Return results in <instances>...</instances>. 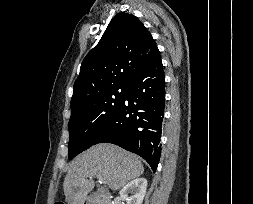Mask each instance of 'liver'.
Returning a JSON list of instances; mask_svg holds the SVG:
<instances>
[{"instance_id":"1","label":"liver","mask_w":253,"mask_h":204,"mask_svg":"<svg viewBox=\"0 0 253 204\" xmlns=\"http://www.w3.org/2000/svg\"><path fill=\"white\" fill-rule=\"evenodd\" d=\"M143 172V164L136 155L109 143L97 144L72 161L63 183L66 201L84 204L94 188V177L116 191Z\"/></svg>"}]
</instances>
